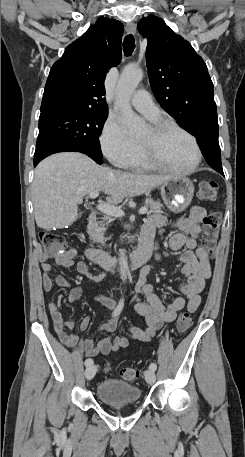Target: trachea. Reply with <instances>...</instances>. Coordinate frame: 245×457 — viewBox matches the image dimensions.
<instances>
[{
	"label": "trachea",
	"mask_w": 245,
	"mask_h": 457,
	"mask_svg": "<svg viewBox=\"0 0 245 457\" xmlns=\"http://www.w3.org/2000/svg\"><path fill=\"white\" fill-rule=\"evenodd\" d=\"M135 49V41L133 35H127L123 42V51L126 56L132 54L133 50Z\"/></svg>",
	"instance_id": "trachea-1"
}]
</instances>
